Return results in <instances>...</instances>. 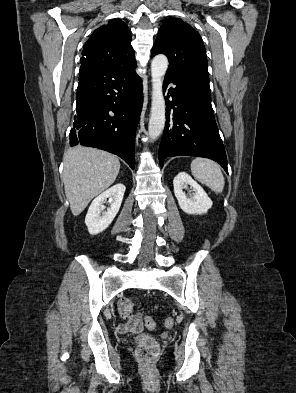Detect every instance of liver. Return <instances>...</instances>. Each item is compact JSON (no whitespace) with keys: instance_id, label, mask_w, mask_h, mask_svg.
<instances>
[{"instance_id":"6515ba94","label":"liver","mask_w":296,"mask_h":393,"mask_svg":"<svg viewBox=\"0 0 296 393\" xmlns=\"http://www.w3.org/2000/svg\"><path fill=\"white\" fill-rule=\"evenodd\" d=\"M63 161L62 181L74 216L112 185L120 170L116 156L90 147L78 146L68 150Z\"/></svg>"}]
</instances>
